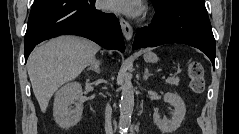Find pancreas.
Segmentation results:
<instances>
[{
    "mask_svg": "<svg viewBox=\"0 0 239 134\" xmlns=\"http://www.w3.org/2000/svg\"><path fill=\"white\" fill-rule=\"evenodd\" d=\"M179 78L177 76H172L166 80V82L171 86H178L179 85Z\"/></svg>",
    "mask_w": 239,
    "mask_h": 134,
    "instance_id": "obj_1",
    "label": "pancreas"
}]
</instances>
